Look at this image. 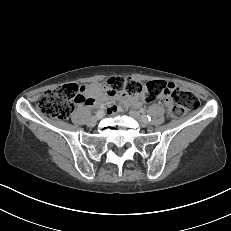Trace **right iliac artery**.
<instances>
[{
	"mask_svg": "<svg viewBox=\"0 0 231 231\" xmlns=\"http://www.w3.org/2000/svg\"><path fill=\"white\" fill-rule=\"evenodd\" d=\"M100 112H103L102 110L98 111L96 115H98Z\"/></svg>",
	"mask_w": 231,
	"mask_h": 231,
	"instance_id": "obj_1",
	"label": "right iliac artery"
}]
</instances>
